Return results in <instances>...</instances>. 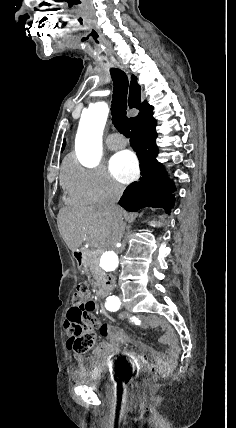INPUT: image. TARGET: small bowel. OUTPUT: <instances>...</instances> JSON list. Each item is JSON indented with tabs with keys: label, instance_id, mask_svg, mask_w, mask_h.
<instances>
[{
	"label": "small bowel",
	"instance_id": "c3829d8e",
	"mask_svg": "<svg viewBox=\"0 0 236 428\" xmlns=\"http://www.w3.org/2000/svg\"><path fill=\"white\" fill-rule=\"evenodd\" d=\"M117 316L140 327L161 329L163 332L161 340L166 346V350L158 353L142 342L132 341L122 329L113 325L102 324L93 319V323L99 327L101 335L106 338L95 347L93 359L103 358L108 360L122 353L129 359L131 364L137 367L149 365L162 368L177 354L179 349L177 337L173 328L166 321L155 316H133L126 312L118 313ZM120 344H132L137 352L121 351ZM75 358L79 364H82L84 361L83 357L79 354Z\"/></svg>",
	"mask_w": 236,
	"mask_h": 428
}]
</instances>
